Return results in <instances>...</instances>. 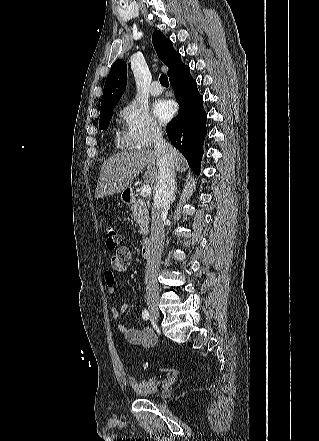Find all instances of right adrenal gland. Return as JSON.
<instances>
[{"instance_id": "1", "label": "right adrenal gland", "mask_w": 319, "mask_h": 441, "mask_svg": "<svg viewBox=\"0 0 319 441\" xmlns=\"http://www.w3.org/2000/svg\"><path fill=\"white\" fill-rule=\"evenodd\" d=\"M176 190H177V185L175 186V189H174V194H173V198H172V203L175 201V199H176Z\"/></svg>"}]
</instances>
